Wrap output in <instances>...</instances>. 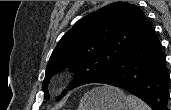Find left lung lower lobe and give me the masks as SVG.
Wrapping results in <instances>:
<instances>
[{"label": "left lung lower lobe", "mask_w": 171, "mask_h": 110, "mask_svg": "<svg viewBox=\"0 0 171 110\" xmlns=\"http://www.w3.org/2000/svg\"><path fill=\"white\" fill-rule=\"evenodd\" d=\"M166 56L150 23L146 33L117 65L95 83L122 88L145 101L153 110H169Z\"/></svg>", "instance_id": "0a47b994"}]
</instances>
